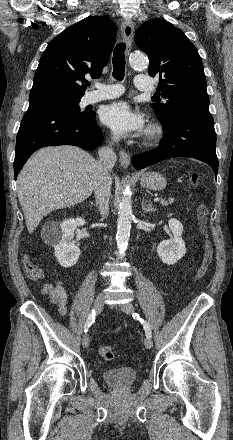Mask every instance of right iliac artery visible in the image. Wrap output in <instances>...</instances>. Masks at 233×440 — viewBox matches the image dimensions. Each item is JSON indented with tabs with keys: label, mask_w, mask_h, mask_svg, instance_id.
Instances as JSON below:
<instances>
[{
	"label": "right iliac artery",
	"mask_w": 233,
	"mask_h": 440,
	"mask_svg": "<svg viewBox=\"0 0 233 440\" xmlns=\"http://www.w3.org/2000/svg\"><path fill=\"white\" fill-rule=\"evenodd\" d=\"M95 314H96L95 310L92 309V311L90 312V314L88 316V319H87V321L85 323V326H84V332L85 333L88 331L89 327L94 323V321H95Z\"/></svg>",
	"instance_id": "obj_1"
}]
</instances>
